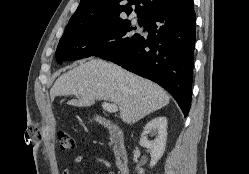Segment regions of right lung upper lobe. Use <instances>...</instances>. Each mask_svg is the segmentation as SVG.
<instances>
[{"label": "right lung upper lobe", "mask_w": 249, "mask_h": 174, "mask_svg": "<svg viewBox=\"0 0 249 174\" xmlns=\"http://www.w3.org/2000/svg\"><path fill=\"white\" fill-rule=\"evenodd\" d=\"M191 2L193 0H81L67 27L121 18L122 13L129 15L133 9L138 18L145 20L156 12Z\"/></svg>", "instance_id": "obj_1"}]
</instances>
